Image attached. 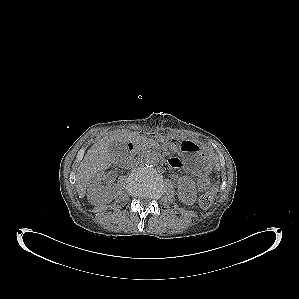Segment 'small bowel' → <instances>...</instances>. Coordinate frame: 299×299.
Segmentation results:
<instances>
[{
	"mask_svg": "<svg viewBox=\"0 0 299 299\" xmlns=\"http://www.w3.org/2000/svg\"><path fill=\"white\" fill-rule=\"evenodd\" d=\"M169 163H170V165H171L172 167H174V168H178V167L181 166V162H180V160L177 159V158H172V159H170Z\"/></svg>",
	"mask_w": 299,
	"mask_h": 299,
	"instance_id": "1",
	"label": "small bowel"
}]
</instances>
